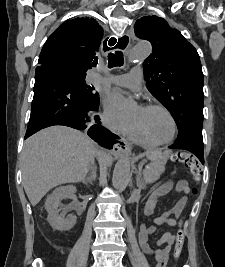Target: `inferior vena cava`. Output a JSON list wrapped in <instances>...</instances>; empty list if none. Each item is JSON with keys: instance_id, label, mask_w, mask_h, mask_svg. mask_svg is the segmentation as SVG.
<instances>
[{"instance_id": "inferior-vena-cava-1", "label": "inferior vena cava", "mask_w": 225, "mask_h": 267, "mask_svg": "<svg viewBox=\"0 0 225 267\" xmlns=\"http://www.w3.org/2000/svg\"><path fill=\"white\" fill-rule=\"evenodd\" d=\"M103 124L108 128L112 127L111 123L109 121H107V120H103Z\"/></svg>"}]
</instances>
